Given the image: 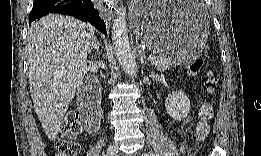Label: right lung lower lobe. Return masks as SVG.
<instances>
[{
    "label": "right lung lower lobe",
    "mask_w": 261,
    "mask_h": 156,
    "mask_svg": "<svg viewBox=\"0 0 261 156\" xmlns=\"http://www.w3.org/2000/svg\"><path fill=\"white\" fill-rule=\"evenodd\" d=\"M49 13H61L88 21L107 35L105 23L91 0H34L30 22Z\"/></svg>",
    "instance_id": "obj_1"
}]
</instances>
